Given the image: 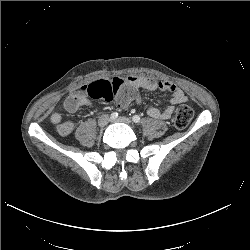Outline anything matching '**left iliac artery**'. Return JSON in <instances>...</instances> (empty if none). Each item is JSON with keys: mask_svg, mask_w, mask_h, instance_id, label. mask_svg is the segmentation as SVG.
Listing matches in <instances>:
<instances>
[{"mask_svg": "<svg viewBox=\"0 0 250 250\" xmlns=\"http://www.w3.org/2000/svg\"><path fill=\"white\" fill-rule=\"evenodd\" d=\"M132 121L135 122V123H139V122H140V116L134 115V116L132 117Z\"/></svg>", "mask_w": 250, "mask_h": 250, "instance_id": "44dca946", "label": "left iliac artery"}]
</instances>
